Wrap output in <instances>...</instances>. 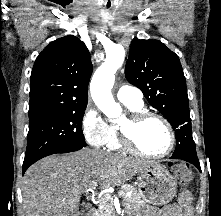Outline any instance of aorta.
Wrapping results in <instances>:
<instances>
[{"mask_svg":"<svg viewBox=\"0 0 221 216\" xmlns=\"http://www.w3.org/2000/svg\"><path fill=\"white\" fill-rule=\"evenodd\" d=\"M125 51L121 45H113L106 53L105 62L95 71L90 92L96 106L108 117L117 118L121 115V106L115 102L111 89L115 81V73L122 66Z\"/></svg>","mask_w":221,"mask_h":216,"instance_id":"1","label":"aorta"}]
</instances>
